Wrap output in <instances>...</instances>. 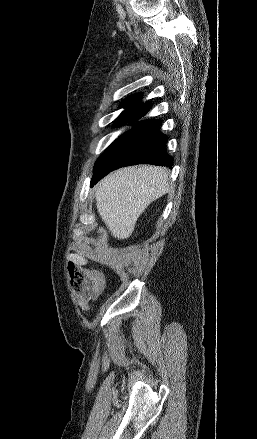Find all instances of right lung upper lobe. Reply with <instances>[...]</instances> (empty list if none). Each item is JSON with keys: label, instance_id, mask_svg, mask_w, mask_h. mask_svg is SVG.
<instances>
[{"label": "right lung upper lobe", "instance_id": "obj_1", "mask_svg": "<svg viewBox=\"0 0 257 439\" xmlns=\"http://www.w3.org/2000/svg\"><path fill=\"white\" fill-rule=\"evenodd\" d=\"M142 93L134 94L128 98H126L122 104L121 108H126L122 114L118 117L119 120H125L130 122L135 120L145 114L148 109L151 107L150 104H142L139 102Z\"/></svg>", "mask_w": 257, "mask_h": 439}]
</instances>
